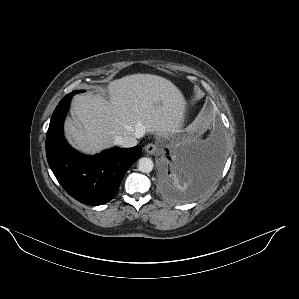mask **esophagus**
I'll return each instance as SVG.
<instances>
[{
  "label": "esophagus",
  "instance_id": "obj_1",
  "mask_svg": "<svg viewBox=\"0 0 299 299\" xmlns=\"http://www.w3.org/2000/svg\"><path fill=\"white\" fill-rule=\"evenodd\" d=\"M145 152L148 153V154H154L157 150H158V147L156 144H153V143H149L145 146Z\"/></svg>",
  "mask_w": 299,
  "mask_h": 299
}]
</instances>
